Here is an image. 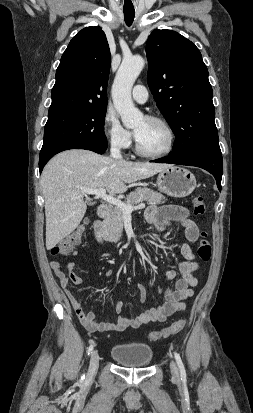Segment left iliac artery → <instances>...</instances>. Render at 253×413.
<instances>
[{
	"label": "left iliac artery",
	"instance_id": "left-iliac-artery-1",
	"mask_svg": "<svg viewBox=\"0 0 253 413\" xmlns=\"http://www.w3.org/2000/svg\"><path fill=\"white\" fill-rule=\"evenodd\" d=\"M174 356H175L176 362H177V364H178V367H179V369H180L181 379H183V380L185 381V380H186V371H185L183 362H182V360H181V357H180V355H179L178 353H176V352L174 353Z\"/></svg>",
	"mask_w": 253,
	"mask_h": 413
}]
</instances>
